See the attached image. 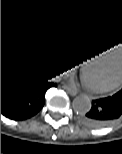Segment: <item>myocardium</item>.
Segmentation results:
<instances>
[{
    "mask_svg": "<svg viewBox=\"0 0 122 154\" xmlns=\"http://www.w3.org/2000/svg\"><path fill=\"white\" fill-rule=\"evenodd\" d=\"M99 56L91 57V58L85 60L83 62V65L85 66V65H88L90 63H93L95 60H97V58ZM121 84H122V75L117 80H115V81H113L109 84H105V85H92V84H90L89 89L92 92H95V93H104V92H108V91H111V90L117 88Z\"/></svg>",
    "mask_w": 122,
    "mask_h": 154,
    "instance_id": "1",
    "label": "myocardium"
}]
</instances>
